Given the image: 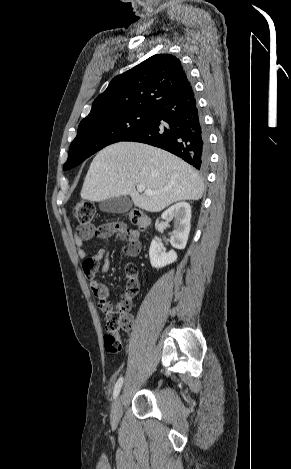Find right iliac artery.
I'll use <instances>...</instances> for the list:
<instances>
[{"instance_id":"82829eb1","label":"right iliac artery","mask_w":291,"mask_h":469,"mask_svg":"<svg viewBox=\"0 0 291 469\" xmlns=\"http://www.w3.org/2000/svg\"><path fill=\"white\" fill-rule=\"evenodd\" d=\"M122 384H123V377H120L114 387V392H113L114 399L118 396L120 389L122 387Z\"/></svg>"}]
</instances>
